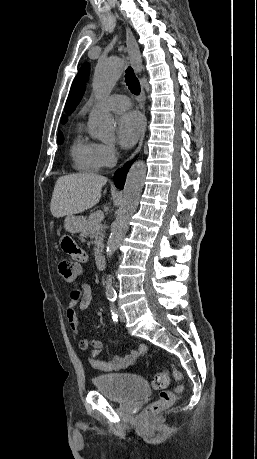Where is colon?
I'll return each mask as SVG.
<instances>
[{
	"label": "colon",
	"mask_w": 257,
	"mask_h": 459,
	"mask_svg": "<svg viewBox=\"0 0 257 459\" xmlns=\"http://www.w3.org/2000/svg\"><path fill=\"white\" fill-rule=\"evenodd\" d=\"M58 272L67 283L72 284L81 273V264H69L68 259H62L58 262ZM171 377L178 381L179 385L175 390H166ZM151 385L154 389L161 390V392L158 399L146 408L145 413L147 415L156 414L168 408L174 402L176 396L184 389V377L175 368L171 369V371L164 370L153 377Z\"/></svg>",
	"instance_id": "colon-1"
}]
</instances>
